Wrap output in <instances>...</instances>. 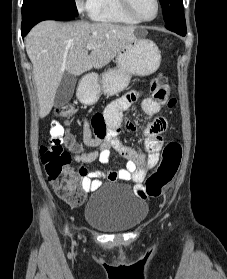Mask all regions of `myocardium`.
<instances>
[{"instance_id":"1","label":"myocardium","mask_w":227,"mask_h":279,"mask_svg":"<svg viewBox=\"0 0 227 279\" xmlns=\"http://www.w3.org/2000/svg\"><path fill=\"white\" fill-rule=\"evenodd\" d=\"M124 9L127 11V13L133 17L135 20H137L138 22H150V21H153L157 18L158 14H159V11H160V2L159 0H154L155 1V7H156V11H155V14L153 17L151 18H148V19H145V18H141L139 17L133 6H132V3H131V0H120Z\"/></svg>"}]
</instances>
